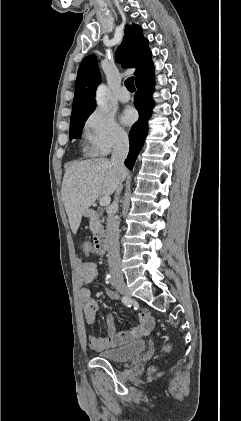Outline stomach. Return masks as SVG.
I'll return each instance as SVG.
<instances>
[{
  "label": "stomach",
  "mask_w": 241,
  "mask_h": 421,
  "mask_svg": "<svg viewBox=\"0 0 241 421\" xmlns=\"http://www.w3.org/2000/svg\"><path fill=\"white\" fill-rule=\"evenodd\" d=\"M84 216L88 217V216H90V213H89L88 211H86V212L84 213Z\"/></svg>",
  "instance_id": "stomach-1"
}]
</instances>
